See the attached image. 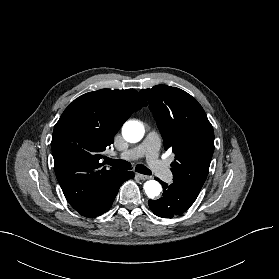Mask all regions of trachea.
Here are the masks:
<instances>
[{"instance_id": "1", "label": "trachea", "mask_w": 279, "mask_h": 279, "mask_svg": "<svg viewBox=\"0 0 279 279\" xmlns=\"http://www.w3.org/2000/svg\"><path fill=\"white\" fill-rule=\"evenodd\" d=\"M105 162H106V164H109V165L113 166L114 168H117L120 170H129L131 168V164L129 162L120 160V159L117 160V159L106 158ZM135 169L137 172L144 174V175L152 174V172L144 165H137Z\"/></svg>"}]
</instances>
